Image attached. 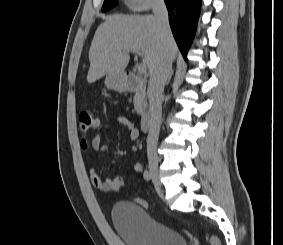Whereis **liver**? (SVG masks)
Returning a JSON list of instances; mask_svg holds the SVG:
<instances>
[{
    "instance_id": "liver-1",
    "label": "liver",
    "mask_w": 283,
    "mask_h": 245,
    "mask_svg": "<svg viewBox=\"0 0 283 245\" xmlns=\"http://www.w3.org/2000/svg\"><path fill=\"white\" fill-rule=\"evenodd\" d=\"M165 50H168L171 61L176 58L175 40L172 36L166 42L162 40L155 16H109L93 37L87 81L95 82L107 74L122 75L130 59L129 52L142 57L151 75Z\"/></svg>"
}]
</instances>
